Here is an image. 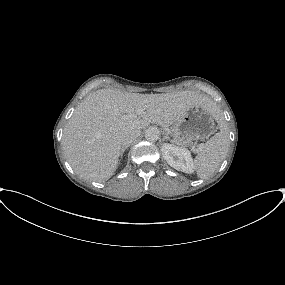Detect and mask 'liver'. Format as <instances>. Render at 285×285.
<instances>
[{"mask_svg":"<svg viewBox=\"0 0 285 285\" xmlns=\"http://www.w3.org/2000/svg\"><path fill=\"white\" fill-rule=\"evenodd\" d=\"M194 105L204 106L217 117V106L193 91L139 94L98 90L80 103L67 122L62 138L64 154L80 177L97 182L108 180L121 155L123 134H140L150 124L168 128ZM137 110L142 114L130 116Z\"/></svg>","mask_w":285,"mask_h":285,"instance_id":"liver-1","label":"liver"}]
</instances>
